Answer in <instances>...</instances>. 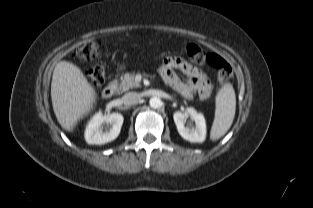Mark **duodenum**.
Segmentation results:
<instances>
[{"label": "duodenum", "mask_w": 313, "mask_h": 208, "mask_svg": "<svg viewBox=\"0 0 313 208\" xmlns=\"http://www.w3.org/2000/svg\"><path fill=\"white\" fill-rule=\"evenodd\" d=\"M116 87H117V85L115 83H110L109 85L104 87V89L102 90V97L104 99L111 98L112 95L114 94L115 90H116Z\"/></svg>", "instance_id": "1"}]
</instances>
